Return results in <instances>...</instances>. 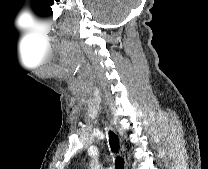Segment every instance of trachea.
Masks as SVG:
<instances>
[{
  "instance_id": "trachea-1",
  "label": "trachea",
  "mask_w": 208,
  "mask_h": 169,
  "mask_svg": "<svg viewBox=\"0 0 208 169\" xmlns=\"http://www.w3.org/2000/svg\"><path fill=\"white\" fill-rule=\"evenodd\" d=\"M109 143H110L112 152L115 154H118L117 136L112 131H109ZM115 167L116 169H124V160L119 155H116Z\"/></svg>"
}]
</instances>
